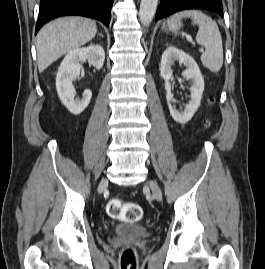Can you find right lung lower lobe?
<instances>
[{"label":"right lung lower lobe","instance_id":"obj_1","mask_svg":"<svg viewBox=\"0 0 265 269\" xmlns=\"http://www.w3.org/2000/svg\"><path fill=\"white\" fill-rule=\"evenodd\" d=\"M114 0H41L35 33L48 21L66 15L94 18L109 25Z\"/></svg>","mask_w":265,"mask_h":269}]
</instances>
